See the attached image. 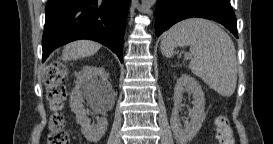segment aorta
<instances>
[{"label": "aorta", "instance_id": "aorta-1", "mask_svg": "<svg viewBox=\"0 0 273 144\" xmlns=\"http://www.w3.org/2000/svg\"><path fill=\"white\" fill-rule=\"evenodd\" d=\"M156 0H142V9L148 10L150 9L154 4Z\"/></svg>", "mask_w": 273, "mask_h": 144}]
</instances>
